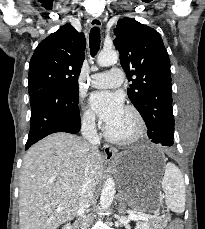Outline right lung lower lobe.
I'll return each mask as SVG.
<instances>
[{
    "mask_svg": "<svg viewBox=\"0 0 205 229\" xmlns=\"http://www.w3.org/2000/svg\"><path fill=\"white\" fill-rule=\"evenodd\" d=\"M30 132L25 146L55 132L75 134L81 127L78 95L71 90L51 86L30 94Z\"/></svg>",
    "mask_w": 205,
    "mask_h": 229,
    "instance_id": "1",
    "label": "right lung lower lobe"
}]
</instances>
